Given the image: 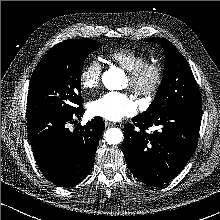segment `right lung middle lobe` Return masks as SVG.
Listing matches in <instances>:
<instances>
[{
  "label": "right lung middle lobe",
  "instance_id": "dd1d6c3e",
  "mask_svg": "<svg viewBox=\"0 0 220 220\" xmlns=\"http://www.w3.org/2000/svg\"><path fill=\"white\" fill-rule=\"evenodd\" d=\"M101 46V43L91 39H71L55 45L33 72L27 113L78 110L83 103L80 92L84 60Z\"/></svg>",
  "mask_w": 220,
  "mask_h": 220
}]
</instances>
